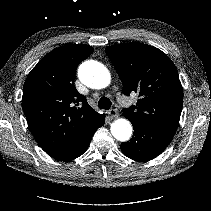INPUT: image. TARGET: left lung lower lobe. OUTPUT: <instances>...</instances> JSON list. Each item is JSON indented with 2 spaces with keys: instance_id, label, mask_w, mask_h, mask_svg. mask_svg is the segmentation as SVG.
I'll return each mask as SVG.
<instances>
[{
  "instance_id": "1",
  "label": "left lung lower lobe",
  "mask_w": 211,
  "mask_h": 211,
  "mask_svg": "<svg viewBox=\"0 0 211 211\" xmlns=\"http://www.w3.org/2000/svg\"><path fill=\"white\" fill-rule=\"evenodd\" d=\"M134 136L121 143L122 153L136 161H148L161 154L171 142L177 128L143 125L130 121Z\"/></svg>"
}]
</instances>
